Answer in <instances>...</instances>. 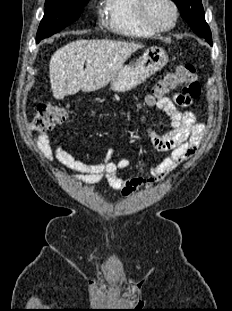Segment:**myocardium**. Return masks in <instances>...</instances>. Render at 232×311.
<instances>
[{
    "label": "myocardium",
    "instance_id": "obj_1",
    "mask_svg": "<svg viewBox=\"0 0 232 311\" xmlns=\"http://www.w3.org/2000/svg\"><path fill=\"white\" fill-rule=\"evenodd\" d=\"M148 2L149 0H138L137 3L138 18L145 27H147L153 32H167L176 26L179 17V9L174 0H167V2L170 4L173 10V20L171 24L166 27L157 26L149 20L146 12Z\"/></svg>",
    "mask_w": 232,
    "mask_h": 311
}]
</instances>
